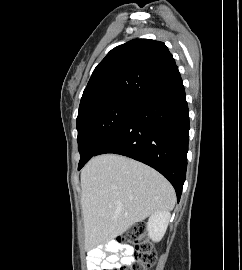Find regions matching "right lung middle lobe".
Segmentation results:
<instances>
[{
	"instance_id": "obj_1",
	"label": "right lung middle lobe",
	"mask_w": 242,
	"mask_h": 270,
	"mask_svg": "<svg viewBox=\"0 0 242 270\" xmlns=\"http://www.w3.org/2000/svg\"><path fill=\"white\" fill-rule=\"evenodd\" d=\"M136 102L117 100L90 108L77 117L80 162L88 161L118 129Z\"/></svg>"
}]
</instances>
